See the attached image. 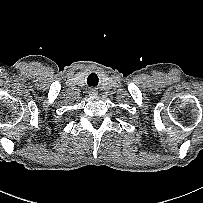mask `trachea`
I'll return each instance as SVG.
<instances>
[{
    "instance_id": "1",
    "label": "trachea",
    "mask_w": 203,
    "mask_h": 203,
    "mask_svg": "<svg viewBox=\"0 0 203 203\" xmlns=\"http://www.w3.org/2000/svg\"><path fill=\"white\" fill-rule=\"evenodd\" d=\"M87 83L89 86H96L98 84V76L94 73L90 74L87 78Z\"/></svg>"
}]
</instances>
